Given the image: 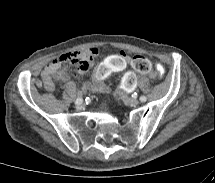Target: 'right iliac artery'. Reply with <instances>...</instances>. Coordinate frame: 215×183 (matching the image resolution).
<instances>
[{"mask_svg": "<svg viewBox=\"0 0 215 183\" xmlns=\"http://www.w3.org/2000/svg\"><path fill=\"white\" fill-rule=\"evenodd\" d=\"M82 101H83L82 98H77L75 101V104H80V103H82Z\"/></svg>", "mask_w": 215, "mask_h": 183, "instance_id": "82829eb1", "label": "right iliac artery"}]
</instances>
